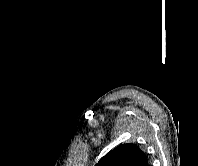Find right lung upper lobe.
I'll return each mask as SVG.
<instances>
[{
	"label": "right lung upper lobe",
	"instance_id": "right-lung-upper-lobe-1",
	"mask_svg": "<svg viewBox=\"0 0 198 166\" xmlns=\"http://www.w3.org/2000/svg\"><path fill=\"white\" fill-rule=\"evenodd\" d=\"M96 166H149L145 153L135 144H122L107 153Z\"/></svg>",
	"mask_w": 198,
	"mask_h": 166
}]
</instances>
